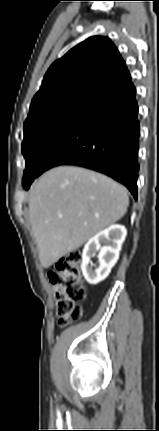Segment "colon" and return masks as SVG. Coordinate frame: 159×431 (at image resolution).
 <instances>
[{
	"instance_id": "colon-1",
	"label": "colon",
	"mask_w": 159,
	"mask_h": 431,
	"mask_svg": "<svg viewBox=\"0 0 159 431\" xmlns=\"http://www.w3.org/2000/svg\"><path fill=\"white\" fill-rule=\"evenodd\" d=\"M82 254L72 251L59 259L49 273V280L54 287L56 309L62 326L77 321L82 315L81 301L85 288L81 276Z\"/></svg>"
}]
</instances>
